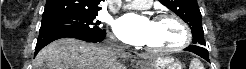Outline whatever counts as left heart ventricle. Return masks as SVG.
Instances as JSON below:
<instances>
[{
	"mask_svg": "<svg viewBox=\"0 0 246 69\" xmlns=\"http://www.w3.org/2000/svg\"><path fill=\"white\" fill-rule=\"evenodd\" d=\"M182 38V29L173 20H157L150 24L145 45L156 48L171 47L178 44Z\"/></svg>",
	"mask_w": 246,
	"mask_h": 69,
	"instance_id": "b2bd125f",
	"label": "left heart ventricle"
}]
</instances>
